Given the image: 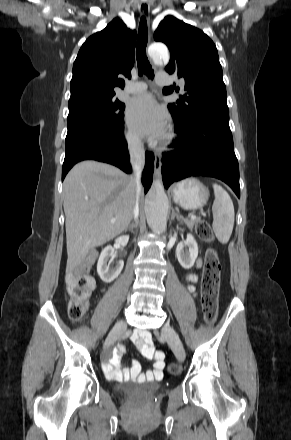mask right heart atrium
Listing matches in <instances>:
<instances>
[{"mask_svg":"<svg viewBox=\"0 0 291 440\" xmlns=\"http://www.w3.org/2000/svg\"><path fill=\"white\" fill-rule=\"evenodd\" d=\"M126 141L128 144H135L137 142V139L132 132L128 131L126 133Z\"/></svg>","mask_w":291,"mask_h":440,"instance_id":"obj_1","label":"right heart atrium"}]
</instances>
